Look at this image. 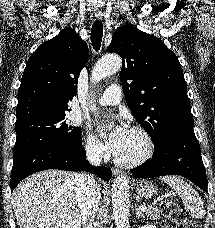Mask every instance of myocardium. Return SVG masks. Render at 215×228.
<instances>
[{"mask_svg":"<svg viewBox=\"0 0 215 228\" xmlns=\"http://www.w3.org/2000/svg\"><path fill=\"white\" fill-rule=\"evenodd\" d=\"M131 131L138 133L142 137L144 148L139 155L131 159H121L116 157L115 163L118 166L124 167V168H132L143 164L153 155V152H154L153 139L146 128H144L143 126L137 125V126H133Z\"/></svg>","mask_w":215,"mask_h":228,"instance_id":"myocardium-1","label":"myocardium"}]
</instances>
